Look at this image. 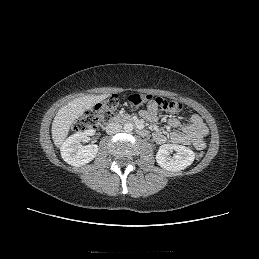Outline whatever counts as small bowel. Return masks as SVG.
<instances>
[{"instance_id":"1","label":"small bowel","mask_w":259,"mask_h":259,"mask_svg":"<svg viewBox=\"0 0 259 259\" xmlns=\"http://www.w3.org/2000/svg\"><path fill=\"white\" fill-rule=\"evenodd\" d=\"M157 111V108L148 105L147 109L140 111V115L146 120L154 121L157 119ZM168 126L171 129L169 135L160 130L154 133L153 137L156 143L164 144L169 141L176 144L192 145L198 150L206 147L205 136L208 134V128L199 115H192L182 127L181 121L172 117L168 121Z\"/></svg>"}]
</instances>
